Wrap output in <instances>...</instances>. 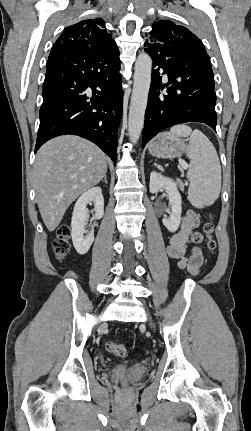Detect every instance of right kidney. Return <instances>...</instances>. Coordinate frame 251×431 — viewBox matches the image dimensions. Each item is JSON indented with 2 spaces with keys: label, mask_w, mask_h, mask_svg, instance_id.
<instances>
[{
  "label": "right kidney",
  "mask_w": 251,
  "mask_h": 431,
  "mask_svg": "<svg viewBox=\"0 0 251 431\" xmlns=\"http://www.w3.org/2000/svg\"><path fill=\"white\" fill-rule=\"evenodd\" d=\"M91 202L94 203L95 210V215L91 220L102 218L104 215V199L100 187H92L88 189L79 197L74 206L71 222V236L76 251L81 255L86 254L89 251L94 241L93 228L86 236H84L86 233L85 225L88 213L86 206Z\"/></svg>",
  "instance_id": "right-kidney-1"
}]
</instances>
